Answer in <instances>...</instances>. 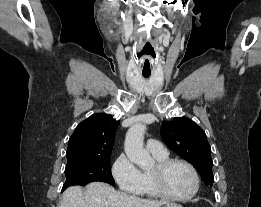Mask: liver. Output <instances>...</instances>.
<instances>
[{
  "instance_id": "6515ba94",
  "label": "liver",
  "mask_w": 261,
  "mask_h": 207,
  "mask_svg": "<svg viewBox=\"0 0 261 207\" xmlns=\"http://www.w3.org/2000/svg\"><path fill=\"white\" fill-rule=\"evenodd\" d=\"M166 201L148 200L116 191L103 182H92L86 191L80 186L66 189L59 207H161Z\"/></svg>"
}]
</instances>
